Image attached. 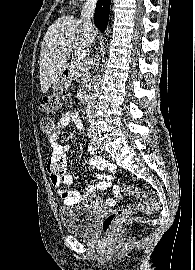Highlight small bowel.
Segmentation results:
<instances>
[{
  "instance_id": "obj_1",
  "label": "small bowel",
  "mask_w": 195,
  "mask_h": 270,
  "mask_svg": "<svg viewBox=\"0 0 195 270\" xmlns=\"http://www.w3.org/2000/svg\"><path fill=\"white\" fill-rule=\"evenodd\" d=\"M70 124H74L77 130L82 128V122L79 117V112L75 109L65 111L59 118L55 130L48 138V143L51 147V155L48 159L46 169L50 177L51 184L57 188L62 202L65 206H73L79 201L98 202L95 197V189L106 190L112 188L114 196L107 199L108 207H114L119 198L120 188L113 186V175L117 172L114 164L105 160L101 155L97 154L93 147H89L91 154L90 164L98 170H107L108 174H98L96 178L99 180L96 186H89L85 193L80 194L76 190H64L60 188L61 184L72 185L74 178L66 172V153L69 150L68 145H61L58 142V137L63 130Z\"/></svg>"
}]
</instances>
